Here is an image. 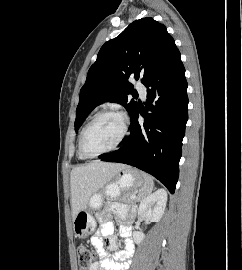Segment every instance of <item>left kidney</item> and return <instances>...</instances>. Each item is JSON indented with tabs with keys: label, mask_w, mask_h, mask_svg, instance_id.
<instances>
[{
	"label": "left kidney",
	"mask_w": 242,
	"mask_h": 270,
	"mask_svg": "<svg viewBox=\"0 0 242 270\" xmlns=\"http://www.w3.org/2000/svg\"><path fill=\"white\" fill-rule=\"evenodd\" d=\"M167 203V192L165 189H158L154 193L145 197L138 209V216L145 217L151 222H159L164 214ZM145 235L141 231H135L133 233V239L136 244H140Z\"/></svg>",
	"instance_id": "left-kidney-1"
}]
</instances>
